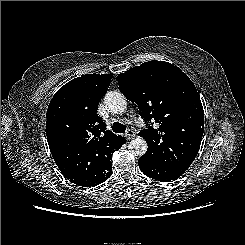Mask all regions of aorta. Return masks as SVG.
Segmentation results:
<instances>
[{
	"label": "aorta",
	"instance_id": "1",
	"mask_svg": "<svg viewBox=\"0 0 245 245\" xmlns=\"http://www.w3.org/2000/svg\"><path fill=\"white\" fill-rule=\"evenodd\" d=\"M104 103L107 110L114 114L123 113L127 109V101L125 96L117 91H110L106 93ZM128 149L131 154L135 156H142L147 151V143L142 137H136L129 142Z\"/></svg>",
	"mask_w": 245,
	"mask_h": 245
}]
</instances>
